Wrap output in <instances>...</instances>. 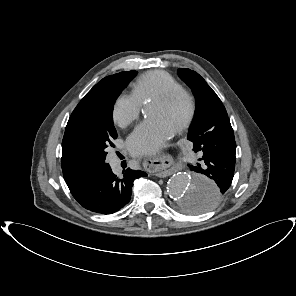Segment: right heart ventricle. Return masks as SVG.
Instances as JSON below:
<instances>
[{
	"label": "right heart ventricle",
	"instance_id": "right-heart-ventricle-1",
	"mask_svg": "<svg viewBox=\"0 0 296 296\" xmlns=\"http://www.w3.org/2000/svg\"><path fill=\"white\" fill-rule=\"evenodd\" d=\"M178 87L181 85L172 75L165 71L154 70L144 73L133 83L131 95L141 105Z\"/></svg>",
	"mask_w": 296,
	"mask_h": 296
}]
</instances>
